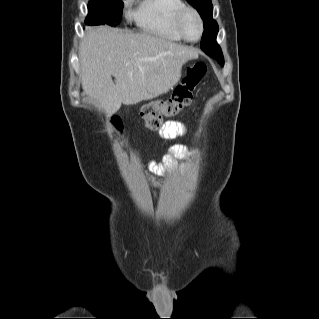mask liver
Returning <instances> with one entry per match:
<instances>
[{"label": "liver", "instance_id": "6515ba94", "mask_svg": "<svg viewBox=\"0 0 319 319\" xmlns=\"http://www.w3.org/2000/svg\"><path fill=\"white\" fill-rule=\"evenodd\" d=\"M198 51L151 34L90 27L80 43L82 88L110 116L167 93ZM115 77V83L112 80Z\"/></svg>", "mask_w": 319, "mask_h": 319}]
</instances>
